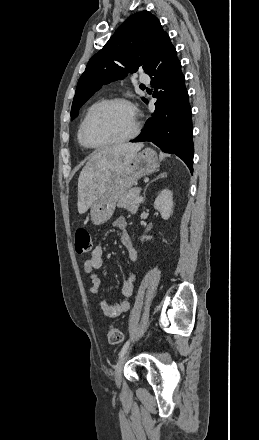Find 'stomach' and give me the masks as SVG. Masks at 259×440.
<instances>
[{
	"label": "stomach",
	"instance_id": "obj_1",
	"mask_svg": "<svg viewBox=\"0 0 259 440\" xmlns=\"http://www.w3.org/2000/svg\"><path fill=\"white\" fill-rule=\"evenodd\" d=\"M159 166L156 152L146 148L137 153L130 163L111 181L105 193L91 206L90 216L94 225L106 223L113 215L117 202L137 181L156 171Z\"/></svg>",
	"mask_w": 259,
	"mask_h": 440
}]
</instances>
